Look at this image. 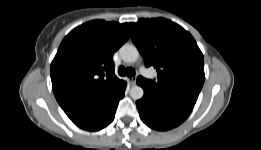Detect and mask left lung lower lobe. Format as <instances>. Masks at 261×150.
Returning <instances> with one entry per match:
<instances>
[{"instance_id": "left-lung-lower-lobe-1", "label": "left lung lower lobe", "mask_w": 261, "mask_h": 150, "mask_svg": "<svg viewBox=\"0 0 261 150\" xmlns=\"http://www.w3.org/2000/svg\"><path fill=\"white\" fill-rule=\"evenodd\" d=\"M144 96L136 102L141 120L155 130H169L181 124L191 113L196 98L177 91H165L145 85Z\"/></svg>"}]
</instances>
